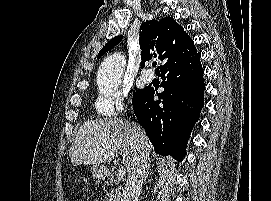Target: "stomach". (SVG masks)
<instances>
[{"instance_id": "obj_1", "label": "stomach", "mask_w": 271, "mask_h": 201, "mask_svg": "<svg viewBox=\"0 0 271 201\" xmlns=\"http://www.w3.org/2000/svg\"><path fill=\"white\" fill-rule=\"evenodd\" d=\"M91 172L94 178L102 179L106 172V168L102 165H95L91 168Z\"/></svg>"}]
</instances>
